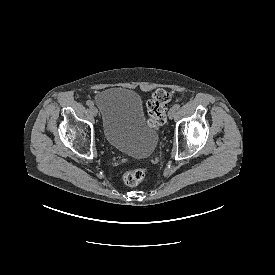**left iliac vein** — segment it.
<instances>
[{
    "label": "left iliac vein",
    "mask_w": 275,
    "mask_h": 275,
    "mask_svg": "<svg viewBox=\"0 0 275 275\" xmlns=\"http://www.w3.org/2000/svg\"><path fill=\"white\" fill-rule=\"evenodd\" d=\"M176 114V110L172 107L170 108L169 112H168V116L170 119H173L175 117Z\"/></svg>",
    "instance_id": "4c4485c4"
}]
</instances>
